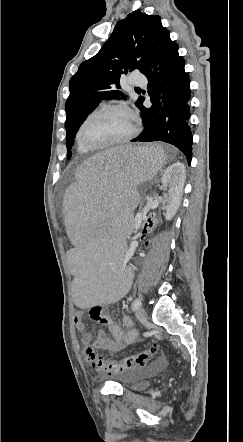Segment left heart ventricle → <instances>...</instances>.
Segmentation results:
<instances>
[{
	"label": "left heart ventricle",
	"instance_id": "obj_1",
	"mask_svg": "<svg viewBox=\"0 0 243 442\" xmlns=\"http://www.w3.org/2000/svg\"><path fill=\"white\" fill-rule=\"evenodd\" d=\"M131 116L125 111H112L91 120L84 129L83 137L89 144H103L130 133Z\"/></svg>",
	"mask_w": 243,
	"mask_h": 442
}]
</instances>
